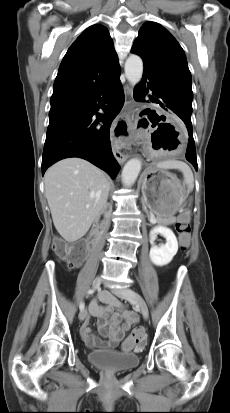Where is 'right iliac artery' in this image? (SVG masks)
I'll return each instance as SVG.
<instances>
[{"mask_svg": "<svg viewBox=\"0 0 230 413\" xmlns=\"http://www.w3.org/2000/svg\"><path fill=\"white\" fill-rule=\"evenodd\" d=\"M93 293H94L93 289H90L87 292L88 295L93 294ZM84 307H85L84 302H81L80 305H79L80 310L82 311L84 309Z\"/></svg>", "mask_w": 230, "mask_h": 413, "instance_id": "1", "label": "right iliac artery"}]
</instances>
